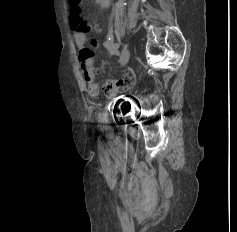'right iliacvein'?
Instances as JSON below:
<instances>
[{"label":"right iliac vein","mask_w":237,"mask_h":232,"mask_svg":"<svg viewBox=\"0 0 237 232\" xmlns=\"http://www.w3.org/2000/svg\"><path fill=\"white\" fill-rule=\"evenodd\" d=\"M129 58H130V52H129L127 46H124L123 50H122L121 57H120L121 66H125L127 64V62L129 61Z\"/></svg>","instance_id":"63e3f726"}]
</instances>
